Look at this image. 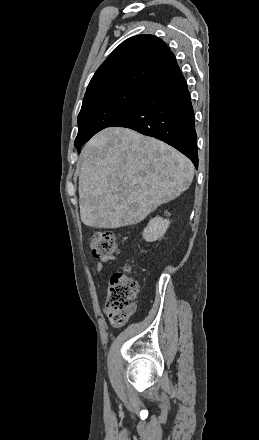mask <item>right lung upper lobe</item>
Listing matches in <instances>:
<instances>
[{"label":"right lung upper lobe","instance_id":"right-lung-upper-lobe-1","mask_svg":"<svg viewBox=\"0 0 259 440\" xmlns=\"http://www.w3.org/2000/svg\"><path fill=\"white\" fill-rule=\"evenodd\" d=\"M177 65L166 43L153 35H138L122 42L92 77L83 103L106 93L149 89Z\"/></svg>","mask_w":259,"mask_h":440}]
</instances>
